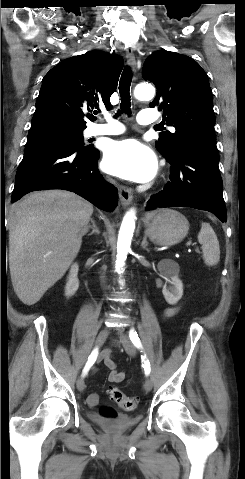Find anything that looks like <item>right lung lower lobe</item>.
I'll use <instances>...</instances> for the list:
<instances>
[{"mask_svg":"<svg viewBox=\"0 0 245 479\" xmlns=\"http://www.w3.org/2000/svg\"><path fill=\"white\" fill-rule=\"evenodd\" d=\"M99 155L94 147L84 148L68 141H54L25 151L16 173L12 202L35 190L63 189L113 211L118 193L99 173Z\"/></svg>","mask_w":245,"mask_h":479,"instance_id":"98d812e1","label":"right lung lower lobe"}]
</instances>
